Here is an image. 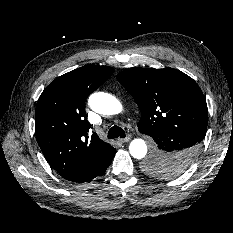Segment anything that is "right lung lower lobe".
Here are the masks:
<instances>
[{
    "label": "right lung lower lobe",
    "instance_id": "right-lung-lower-lobe-1",
    "mask_svg": "<svg viewBox=\"0 0 233 233\" xmlns=\"http://www.w3.org/2000/svg\"><path fill=\"white\" fill-rule=\"evenodd\" d=\"M115 153L116 149L113 148L108 156L99 164L87 165L82 168H77L67 174L64 178L72 182L90 181L105 172V170L109 167Z\"/></svg>",
    "mask_w": 233,
    "mask_h": 233
}]
</instances>
